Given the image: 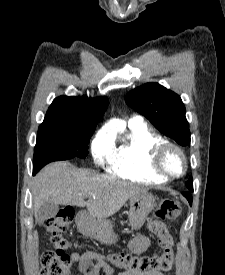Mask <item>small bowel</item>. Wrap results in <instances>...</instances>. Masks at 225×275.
<instances>
[{"instance_id":"small-bowel-1","label":"small bowel","mask_w":225,"mask_h":275,"mask_svg":"<svg viewBox=\"0 0 225 275\" xmlns=\"http://www.w3.org/2000/svg\"><path fill=\"white\" fill-rule=\"evenodd\" d=\"M151 245V240L146 235H139L131 240L129 249L140 254L146 251ZM70 259L78 264L80 273L85 275H164L162 272H139L122 271L115 272L114 268L108 264L106 257L94 249L87 248L83 253L72 252Z\"/></svg>"}]
</instances>
